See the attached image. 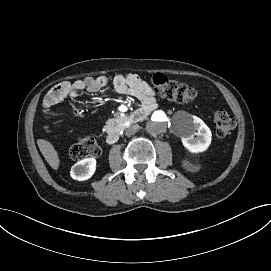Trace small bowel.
<instances>
[{"mask_svg":"<svg viewBox=\"0 0 271 271\" xmlns=\"http://www.w3.org/2000/svg\"><path fill=\"white\" fill-rule=\"evenodd\" d=\"M110 86L118 94L139 100L147 111L156 107V99L152 88L141 77L133 73L118 74L114 77L112 83L106 76L87 77L74 82H62L48 92L44 104L46 108H49L66 98H76L83 92L98 93Z\"/></svg>","mask_w":271,"mask_h":271,"instance_id":"1","label":"small bowel"}]
</instances>
